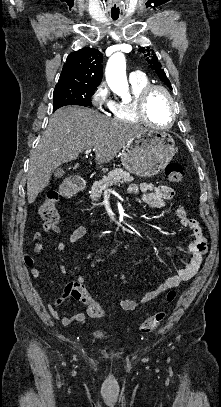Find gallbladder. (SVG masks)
<instances>
[{
    "label": "gallbladder",
    "mask_w": 221,
    "mask_h": 407,
    "mask_svg": "<svg viewBox=\"0 0 221 407\" xmlns=\"http://www.w3.org/2000/svg\"><path fill=\"white\" fill-rule=\"evenodd\" d=\"M64 170L62 168H58L54 171V176L55 177H61L64 174Z\"/></svg>",
    "instance_id": "gallbladder-1"
}]
</instances>
